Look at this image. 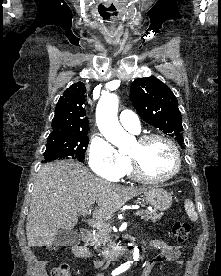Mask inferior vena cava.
Returning <instances> with one entry per match:
<instances>
[{
	"instance_id": "inferior-vena-cava-1",
	"label": "inferior vena cava",
	"mask_w": 221,
	"mask_h": 276,
	"mask_svg": "<svg viewBox=\"0 0 221 276\" xmlns=\"http://www.w3.org/2000/svg\"><path fill=\"white\" fill-rule=\"evenodd\" d=\"M114 258L117 259V255H115Z\"/></svg>"
}]
</instances>
